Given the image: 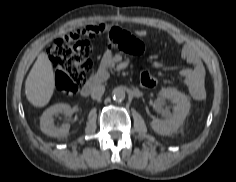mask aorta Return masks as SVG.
Masks as SVG:
<instances>
[{"label":"aorta","instance_id":"1","mask_svg":"<svg viewBox=\"0 0 236 182\" xmlns=\"http://www.w3.org/2000/svg\"><path fill=\"white\" fill-rule=\"evenodd\" d=\"M113 99L116 101H122L125 99V90L121 87H116L112 91Z\"/></svg>","mask_w":236,"mask_h":182}]
</instances>
